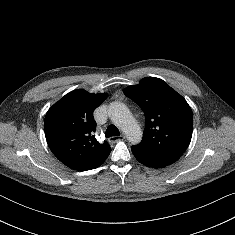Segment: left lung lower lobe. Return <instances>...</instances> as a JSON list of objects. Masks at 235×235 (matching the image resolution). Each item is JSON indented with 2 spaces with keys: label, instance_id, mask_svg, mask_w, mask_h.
Masks as SVG:
<instances>
[{
  "label": "left lung lower lobe",
  "instance_id": "0a47b994",
  "mask_svg": "<svg viewBox=\"0 0 235 235\" xmlns=\"http://www.w3.org/2000/svg\"><path fill=\"white\" fill-rule=\"evenodd\" d=\"M131 150L136 157V159L143 165L162 168L168 166L179 159L177 156L168 155L165 153L144 150L138 146H132Z\"/></svg>",
  "mask_w": 235,
  "mask_h": 235
}]
</instances>
